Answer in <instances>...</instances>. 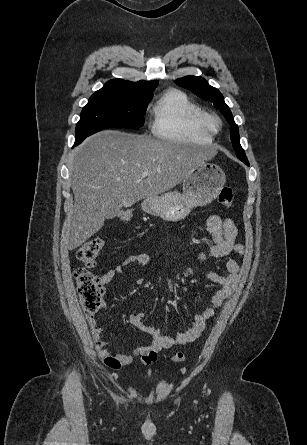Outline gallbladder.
I'll return each mask as SVG.
<instances>
[{"mask_svg":"<svg viewBox=\"0 0 307 445\" xmlns=\"http://www.w3.org/2000/svg\"><path fill=\"white\" fill-rule=\"evenodd\" d=\"M107 220L113 219L116 217V212H119L122 210V205L120 204V202L117 200V198H114V200H111L110 202L107 203Z\"/></svg>","mask_w":307,"mask_h":445,"instance_id":"obj_1","label":"gallbladder"}]
</instances>
